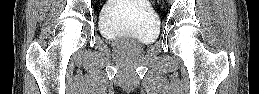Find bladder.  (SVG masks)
Here are the masks:
<instances>
[{
  "mask_svg": "<svg viewBox=\"0 0 259 94\" xmlns=\"http://www.w3.org/2000/svg\"><path fill=\"white\" fill-rule=\"evenodd\" d=\"M99 29L101 34L111 41L130 38L147 44L155 40L158 25L152 9L138 3L133 7H106L100 18Z\"/></svg>",
  "mask_w": 259,
  "mask_h": 94,
  "instance_id": "1",
  "label": "bladder"
}]
</instances>
